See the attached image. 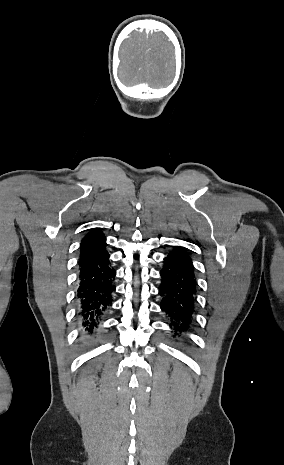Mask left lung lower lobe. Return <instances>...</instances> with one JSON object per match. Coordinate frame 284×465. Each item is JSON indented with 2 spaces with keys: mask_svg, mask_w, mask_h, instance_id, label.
<instances>
[{
  "mask_svg": "<svg viewBox=\"0 0 284 465\" xmlns=\"http://www.w3.org/2000/svg\"><path fill=\"white\" fill-rule=\"evenodd\" d=\"M159 292L161 309L169 315L173 338L190 330L194 321L196 281L191 258L183 247H174L163 261Z\"/></svg>",
  "mask_w": 284,
  "mask_h": 465,
  "instance_id": "obj_1",
  "label": "left lung lower lobe"
}]
</instances>
